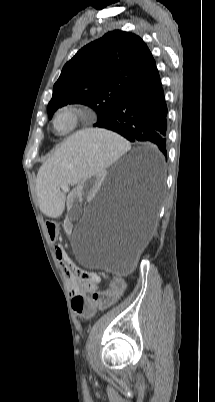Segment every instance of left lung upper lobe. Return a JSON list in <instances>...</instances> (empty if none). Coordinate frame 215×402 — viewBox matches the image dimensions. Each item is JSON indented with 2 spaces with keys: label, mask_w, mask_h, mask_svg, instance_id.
Wrapping results in <instances>:
<instances>
[{
  "label": "left lung upper lobe",
  "mask_w": 215,
  "mask_h": 402,
  "mask_svg": "<svg viewBox=\"0 0 215 402\" xmlns=\"http://www.w3.org/2000/svg\"><path fill=\"white\" fill-rule=\"evenodd\" d=\"M155 65L139 36L109 32L84 46L64 65L47 106L49 118L62 106L81 103L97 112V126L112 115Z\"/></svg>",
  "instance_id": "5c2ea615"
}]
</instances>
